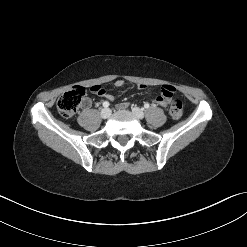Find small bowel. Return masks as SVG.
<instances>
[{"label": "small bowel", "mask_w": 247, "mask_h": 247, "mask_svg": "<svg viewBox=\"0 0 247 247\" xmlns=\"http://www.w3.org/2000/svg\"><path fill=\"white\" fill-rule=\"evenodd\" d=\"M124 84H125V82H124V80H122V79H117V80H115L114 81V83H113V85L116 87V88H121V87H123L124 86ZM96 86H98V85H94V86H92L91 88H92V92L93 93H95V94H97L98 96H101V97H104V98H107V99H109V100H113L114 99V96L111 94V93H109V92H107L104 88H102V87H100V88H96ZM164 86H170V85H164ZM138 87H139V89H141V90H146L147 89V86L146 85H144V84H139L138 85ZM170 87H172V86H170ZM172 89H173V92H174V88L172 87ZM172 96V95H171ZM171 96H166L165 98H164V103H159V102H157V98H155L154 97V95L152 96V99H153V101L155 102V103H157L158 105H160V106H162V107H165V106H167V104H168V102H169V99H170V97ZM84 105L85 106H89L90 105V101L89 100H86L85 101V103H84ZM127 107V103H125V102H123V103H120L119 105H118V108L119 109H124V108H126Z\"/></svg>", "instance_id": "1"}]
</instances>
